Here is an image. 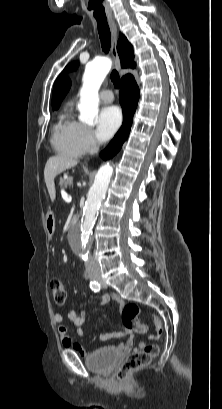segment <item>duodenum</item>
Masks as SVG:
<instances>
[{
  "mask_svg": "<svg viewBox=\"0 0 222 409\" xmlns=\"http://www.w3.org/2000/svg\"><path fill=\"white\" fill-rule=\"evenodd\" d=\"M72 222H73V224L78 223V217H74V218L72 219Z\"/></svg>",
  "mask_w": 222,
  "mask_h": 409,
  "instance_id": "obj_1",
  "label": "duodenum"
}]
</instances>
